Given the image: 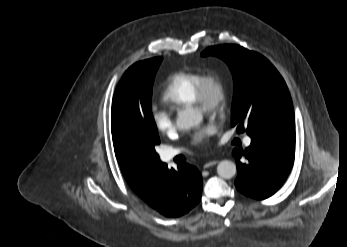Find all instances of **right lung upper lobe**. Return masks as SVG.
I'll use <instances>...</instances> for the list:
<instances>
[{"label":"right lung upper lobe","mask_w":347,"mask_h":247,"mask_svg":"<svg viewBox=\"0 0 347 247\" xmlns=\"http://www.w3.org/2000/svg\"><path fill=\"white\" fill-rule=\"evenodd\" d=\"M116 159L132 190L143 200L155 198L159 193V180L167 165L151 161L113 141Z\"/></svg>","instance_id":"1"}]
</instances>
